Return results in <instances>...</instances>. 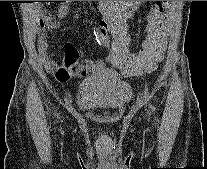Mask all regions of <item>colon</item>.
Listing matches in <instances>:
<instances>
[{"label": "colon", "mask_w": 207, "mask_h": 169, "mask_svg": "<svg viewBox=\"0 0 207 169\" xmlns=\"http://www.w3.org/2000/svg\"><path fill=\"white\" fill-rule=\"evenodd\" d=\"M167 3V1H158L152 9L146 26V38L137 53L130 55L126 53L127 41L110 44V49H114L113 56L117 65L132 74L156 68L166 43Z\"/></svg>", "instance_id": "1"}]
</instances>
